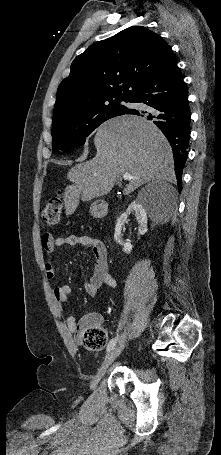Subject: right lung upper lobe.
<instances>
[{"label": "right lung upper lobe", "mask_w": 221, "mask_h": 455, "mask_svg": "<svg viewBox=\"0 0 221 455\" xmlns=\"http://www.w3.org/2000/svg\"><path fill=\"white\" fill-rule=\"evenodd\" d=\"M170 50L158 34L142 26L88 47L58 87L53 123L109 99L131 98Z\"/></svg>", "instance_id": "cb5924a9"}]
</instances>
